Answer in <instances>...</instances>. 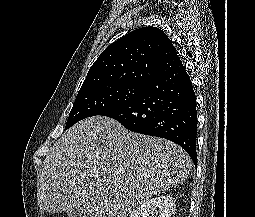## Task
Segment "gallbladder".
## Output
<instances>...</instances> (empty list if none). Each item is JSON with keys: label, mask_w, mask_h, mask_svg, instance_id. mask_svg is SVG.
Returning a JSON list of instances; mask_svg holds the SVG:
<instances>
[{"label": "gallbladder", "mask_w": 255, "mask_h": 217, "mask_svg": "<svg viewBox=\"0 0 255 217\" xmlns=\"http://www.w3.org/2000/svg\"><path fill=\"white\" fill-rule=\"evenodd\" d=\"M67 217H89L84 208H71L66 211Z\"/></svg>", "instance_id": "1"}]
</instances>
